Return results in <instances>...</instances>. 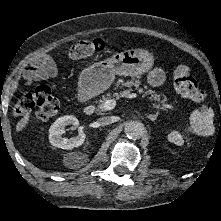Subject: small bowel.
Segmentation results:
<instances>
[{"instance_id": "c3829d8e", "label": "small bowel", "mask_w": 221, "mask_h": 221, "mask_svg": "<svg viewBox=\"0 0 221 221\" xmlns=\"http://www.w3.org/2000/svg\"><path fill=\"white\" fill-rule=\"evenodd\" d=\"M58 70L54 61L46 54L36 56L29 68L25 72V79L27 82L42 81L56 78ZM164 80V73L161 69H154L149 74V81L154 85L162 83Z\"/></svg>"}]
</instances>
